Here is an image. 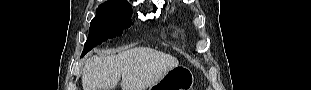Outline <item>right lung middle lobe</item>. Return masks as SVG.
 Masks as SVG:
<instances>
[{
    "label": "right lung middle lobe",
    "instance_id": "obj_1",
    "mask_svg": "<svg viewBox=\"0 0 311 90\" xmlns=\"http://www.w3.org/2000/svg\"><path fill=\"white\" fill-rule=\"evenodd\" d=\"M131 16L130 4L105 2L99 5L96 17L91 21L82 56L107 39L122 35L124 30L133 25Z\"/></svg>",
    "mask_w": 311,
    "mask_h": 90
}]
</instances>
